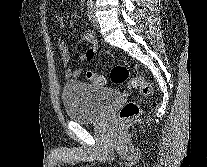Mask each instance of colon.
<instances>
[{
	"mask_svg": "<svg viewBox=\"0 0 207 167\" xmlns=\"http://www.w3.org/2000/svg\"><path fill=\"white\" fill-rule=\"evenodd\" d=\"M87 79L95 85H104L106 79L100 74L88 71ZM110 77L113 83L122 85L127 83L129 88L138 91L144 97H152L155 94L154 87L140 76H130L129 70L124 65H115L112 67ZM141 112L140 106L129 101L125 103L119 111L118 118L120 121H126L139 115Z\"/></svg>",
	"mask_w": 207,
	"mask_h": 167,
	"instance_id": "1",
	"label": "colon"
}]
</instances>
